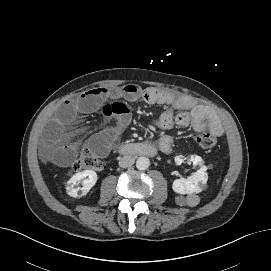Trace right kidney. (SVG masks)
I'll return each mask as SVG.
<instances>
[{
  "label": "right kidney",
  "mask_w": 271,
  "mask_h": 271,
  "mask_svg": "<svg viewBox=\"0 0 271 271\" xmlns=\"http://www.w3.org/2000/svg\"><path fill=\"white\" fill-rule=\"evenodd\" d=\"M97 173L93 170H84L74 174L68 181L66 192L74 198L85 196L97 182ZM82 183V187L78 186Z\"/></svg>",
  "instance_id": "ca27d5eb"
}]
</instances>
